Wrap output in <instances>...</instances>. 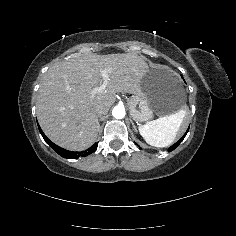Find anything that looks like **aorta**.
I'll return each instance as SVG.
<instances>
[{
  "label": "aorta",
  "mask_w": 236,
  "mask_h": 236,
  "mask_svg": "<svg viewBox=\"0 0 236 236\" xmlns=\"http://www.w3.org/2000/svg\"><path fill=\"white\" fill-rule=\"evenodd\" d=\"M112 115L115 118H123L125 116V109L124 107H120V106H115L112 110Z\"/></svg>",
  "instance_id": "1"
}]
</instances>
